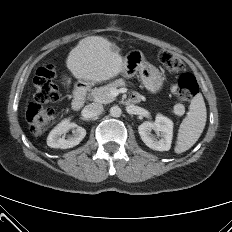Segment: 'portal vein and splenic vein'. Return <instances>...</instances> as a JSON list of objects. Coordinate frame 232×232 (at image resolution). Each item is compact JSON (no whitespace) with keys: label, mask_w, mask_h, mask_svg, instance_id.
<instances>
[{"label":"portal vein and splenic vein","mask_w":232,"mask_h":232,"mask_svg":"<svg viewBox=\"0 0 232 232\" xmlns=\"http://www.w3.org/2000/svg\"><path fill=\"white\" fill-rule=\"evenodd\" d=\"M111 92H115V93H112L113 95H116L117 93H118V91L117 90H115V89H113V91H111ZM117 92V93H116ZM111 94V95H112Z\"/></svg>","instance_id":"portal-vein-and-splenic-vein-1"}]
</instances>
